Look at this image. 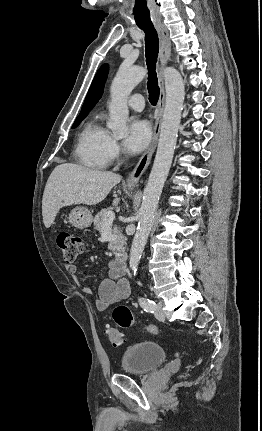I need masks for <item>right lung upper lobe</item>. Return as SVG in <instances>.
I'll return each mask as SVG.
<instances>
[{
    "mask_svg": "<svg viewBox=\"0 0 262 431\" xmlns=\"http://www.w3.org/2000/svg\"><path fill=\"white\" fill-rule=\"evenodd\" d=\"M108 74V66L103 65L95 75L91 87L88 91L84 104L82 106L79 116H87L89 111L95 106L98 100L101 98L104 83Z\"/></svg>",
    "mask_w": 262,
    "mask_h": 431,
    "instance_id": "1",
    "label": "right lung upper lobe"
}]
</instances>
